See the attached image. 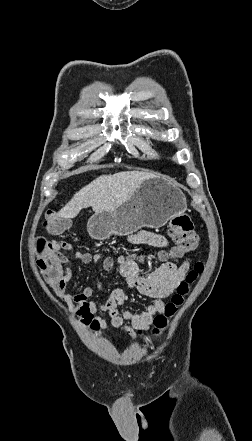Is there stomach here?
<instances>
[{"instance_id": "obj_1", "label": "stomach", "mask_w": 252, "mask_h": 441, "mask_svg": "<svg viewBox=\"0 0 252 441\" xmlns=\"http://www.w3.org/2000/svg\"><path fill=\"white\" fill-rule=\"evenodd\" d=\"M186 209L183 192L171 180L154 176L142 182L113 211L95 212L88 220L87 230L96 240L127 236L142 227L160 228Z\"/></svg>"}]
</instances>
